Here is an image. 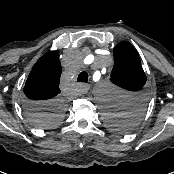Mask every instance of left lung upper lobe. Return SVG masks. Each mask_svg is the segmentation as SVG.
<instances>
[{
	"instance_id": "1",
	"label": "left lung upper lobe",
	"mask_w": 174,
	"mask_h": 174,
	"mask_svg": "<svg viewBox=\"0 0 174 174\" xmlns=\"http://www.w3.org/2000/svg\"><path fill=\"white\" fill-rule=\"evenodd\" d=\"M114 67L111 81L135 93L129 98L122 112L109 113L108 123L117 132L126 133L137 124L145 108V96L138 91L146 83V75L135 48L126 41L119 43L113 51Z\"/></svg>"
}]
</instances>
